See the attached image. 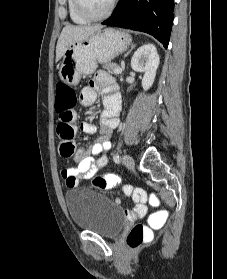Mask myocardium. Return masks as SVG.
Returning <instances> with one entry per match:
<instances>
[{
  "label": "myocardium",
  "mask_w": 227,
  "mask_h": 279,
  "mask_svg": "<svg viewBox=\"0 0 227 279\" xmlns=\"http://www.w3.org/2000/svg\"><path fill=\"white\" fill-rule=\"evenodd\" d=\"M116 2H117V0H111L108 9L104 13H102L100 15H91L83 7L81 0H74L75 8H76L78 14L88 21H99V20L109 17L115 8Z\"/></svg>",
  "instance_id": "1"
}]
</instances>
